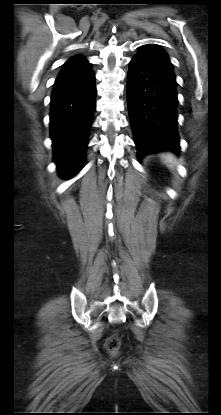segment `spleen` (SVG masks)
I'll use <instances>...</instances> for the list:
<instances>
[{"label": "spleen", "instance_id": "spleen-1", "mask_svg": "<svg viewBox=\"0 0 221 415\" xmlns=\"http://www.w3.org/2000/svg\"><path fill=\"white\" fill-rule=\"evenodd\" d=\"M161 159L163 163L166 164V166L170 169H173L174 166L176 165V158L174 157L172 153L167 152V153L161 154Z\"/></svg>", "mask_w": 221, "mask_h": 415}]
</instances>
